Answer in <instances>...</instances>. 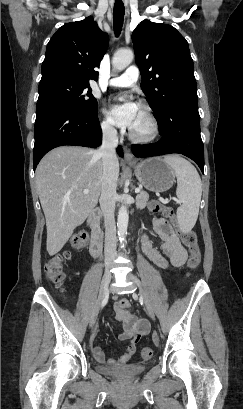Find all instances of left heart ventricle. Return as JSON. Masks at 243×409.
Here are the masks:
<instances>
[{
  "label": "left heart ventricle",
  "mask_w": 243,
  "mask_h": 409,
  "mask_svg": "<svg viewBox=\"0 0 243 409\" xmlns=\"http://www.w3.org/2000/svg\"><path fill=\"white\" fill-rule=\"evenodd\" d=\"M130 130L138 135H146L149 133L150 125L148 119L144 110L140 107L137 109V114Z\"/></svg>",
  "instance_id": "obj_1"
}]
</instances>
